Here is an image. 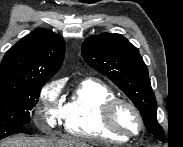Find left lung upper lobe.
Listing matches in <instances>:
<instances>
[{
  "label": "left lung upper lobe",
  "instance_id": "obj_1",
  "mask_svg": "<svg viewBox=\"0 0 183 147\" xmlns=\"http://www.w3.org/2000/svg\"><path fill=\"white\" fill-rule=\"evenodd\" d=\"M82 55L89 66L106 75L129 97L140 111L148 132L164 141L148 69L138 49L120 34L104 33L87 38Z\"/></svg>",
  "mask_w": 183,
  "mask_h": 147
}]
</instances>
